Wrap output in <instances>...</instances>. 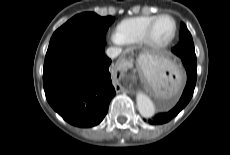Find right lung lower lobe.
Returning <instances> with one entry per match:
<instances>
[{
	"instance_id": "right-lung-lower-lobe-1",
	"label": "right lung lower lobe",
	"mask_w": 230,
	"mask_h": 155,
	"mask_svg": "<svg viewBox=\"0 0 230 155\" xmlns=\"http://www.w3.org/2000/svg\"><path fill=\"white\" fill-rule=\"evenodd\" d=\"M105 44L67 45L46 53L43 86L47 101L74 126L99 124L115 95Z\"/></svg>"
}]
</instances>
